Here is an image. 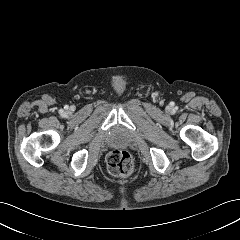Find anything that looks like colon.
I'll return each mask as SVG.
<instances>
[{
	"label": "colon",
	"instance_id": "obj_1",
	"mask_svg": "<svg viewBox=\"0 0 240 240\" xmlns=\"http://www.w3.org/2000/svg\"><path fill=\"white\" fill-rule=\"evenodd\" d=\"M107 166L112 175L126 177L133 172L134 161L129 152L118 149L109 153L107 157Z\"/></svg>",
	"mask_w": 240,
	"mask_h": 240
}]
</instances>
